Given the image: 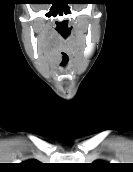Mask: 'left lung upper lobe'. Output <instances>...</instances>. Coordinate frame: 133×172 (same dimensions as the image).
<instances>
[{"label":"left lung upper lobe","instance_id":"obj_1","mask_svg":"<svg viewBox=\"0 0 133 172\" xmlns=\"http://www.w3.org/2000/svg\"><path fill=\"white\" fill-rule=\"evenodd\" d=\"M93 168L97 169V170H102V169H106L109 167V163L106 162H102V161H96L94 163L91 164Z\"/></svg>","mask_w":133,"mask_h":172}]
</instances>
